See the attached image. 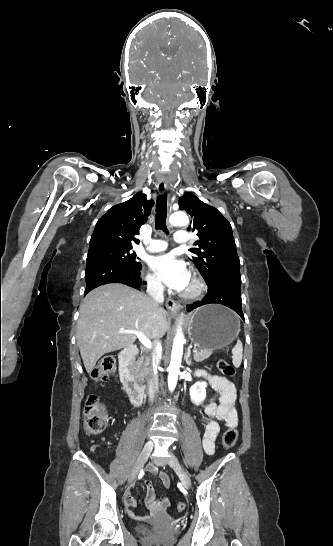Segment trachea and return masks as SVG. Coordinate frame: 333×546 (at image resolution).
Returning a JSON list of instances; mask_svg holds the SVG:
<instances>
[{
  "label": "trachea",
  "instance_id": "1",
  "mask_svg": "<svg viewBox=\"0 0 333 546\" xmlns=\"http://www.w3.org/2000/svg\"><path fill=\"white\" fill-rule=\"evenodd\" d=\"M167 217V194L161 195L157 198L156 203V215H155V228L169 233L166 226Z\"/></svg>",
  "mask_w": 333,
  "mask_h": 546
}]
</instances>
